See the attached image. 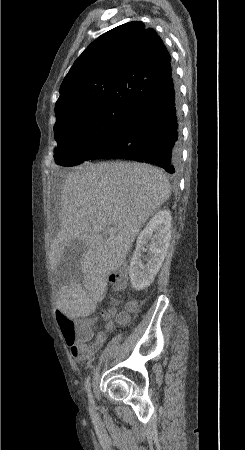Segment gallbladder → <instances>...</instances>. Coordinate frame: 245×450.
I'll return each instance as SVG.
<instances>
[{
  "label": "gallbladder",
  "mask_w": 245,
  "mask_h": 450,
  "mask_svg": "<svg viewBox=\"0 0 245 450\" xmlns=\"http://www.w3.org/2000/svg\"><path fill=\"white\" fill-rule=\"evenodd\" d=\"M87 250V245L79 240L71 241L57 266L55 271L56 276L65 281H69L72 278L80 280L81 278V259L84 252Z\"/></svg>",
  "instance_id": "bac80fb5"
}]
</instances>
